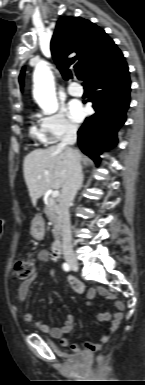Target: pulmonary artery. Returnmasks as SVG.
Masks as SVG:
<instances>
[{"mask_svg":"<svg viewBox=\"0 0 145 385\" xmlns=\"http://www.w3.org/2000/svg\"><path fill=\"white\" fill-rule=\"evenodd\" d=\"M67 90L69 94L77 97L82 96L84 92L82 86L76 82L70 83Z\"/></svg>","mask_w":145,"mask_h":385,"instance_id":"pulmonary-artery-1","label":"pulmonary artery"}]
</instances>
